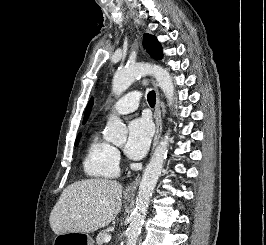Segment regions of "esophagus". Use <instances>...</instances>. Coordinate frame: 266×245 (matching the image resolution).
I'll return each mask as SVG.
<instances>
[{
	"label": "esophagus",
	"instance_id": "esophagus-1",
	"mask_svg": "<svg viewBox=\"0 0 266 245\" xmlns=\"http://www.w3.org/2000/svg\"><path fill=\"white\" fill-rule=\"evenodd\" d=\"M153 85L155 87L156 90V105H155V114H154V118H155V123H156V132H155V137L153 140V146H152V150H154V148L157 146L161 133H162V128H163V122H162V117H161V108H160V94H159V90L157 88V85L155 84V81H153ZM140 181V175H138L136 177V179L130 183V185H128V187L125 189V194L126 195H134L135 190L138 186V183Z\"/></svg>",
	"mask_w": 266,
	"mask_h": 245
}]
</instances>
